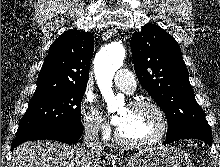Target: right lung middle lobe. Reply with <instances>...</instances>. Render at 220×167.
Wrapping results in <instances>:
<instances>
[{"mask_svg":"<svg viewBox=\"0 0 220 167\" xmlns=\"http://www.w3.org/2000/svg\"><path fill=\"white\" fill-rule=\"evenodd\" d=\"M85 89L86 87H68L31 99L19 123L16 138L47 130L81 128V100Z\"/></svg>","mask_w":220,"mask_h":167,"instance_id":"right-lung-middle-lobe-1","label":"right lung middle lobe"}]
</instances>
